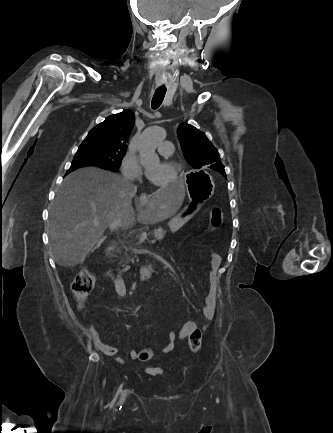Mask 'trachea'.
<instances>
[{
  "label": "trachea",
  "instance_id": "1",
  "mask_svg": "<svg viewBox=\"0 0 333 433\" xmlns=\"http://www.w3.org/2000/svg\"><path fill=\"white\" fill-rule=\"evenodd\" d=\"M165 94L166 88L164 87H160L155 91L151 102L152 109H157L162 104Z\"/></svg>",
  "mask_w": 333,
  "mask_h": 433
}]
</instances>
